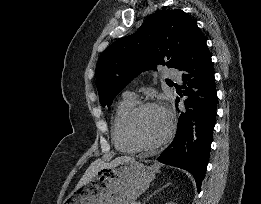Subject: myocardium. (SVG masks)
Here are the masks:
<instances>
[{
    "label": "myocardium",
    "mask_w": 261,
    "mask_h": 204,
    "mask_svg": "<svg viewBox=\"0 0 261 204\" xmlns=\"http://www.w3.org/2000/svg\"><path fill=\"white\" fill-rule=\"evenodd\" d=\"M149 108H158L167 117L168 127L164 136L154 143L143 142L135 132V123L139 115ZM124 132L127 139L140 150H154L166 144L174 132V118L170 109L157 101H145L137 104L128 114L124 123Z\"/></svg>",
    "instance_id": "f54148a6"
}]
</instances>
